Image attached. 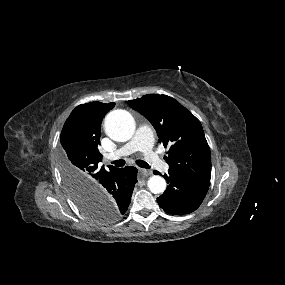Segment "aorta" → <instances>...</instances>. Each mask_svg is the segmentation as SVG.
<instances>
[{"mask_svg": "<svg viewBox=\"0 0 285 285\" xmlns=\"http://www.w3.org/2000/svg\"><path fill=\"white\" fill-rule=\"evenodd\" d=\"M104 129L111 139L125 142L132 138L135 122L129 112L120 109L114 110L106 116ZM147 186L152 193L161 194L166 189V181L163 177L154 175L149 178Z\"/></svg>", "mask_w": 285, "mask_h": 285, "instance_id": "1", "label": "aorta"}]
</instances>
